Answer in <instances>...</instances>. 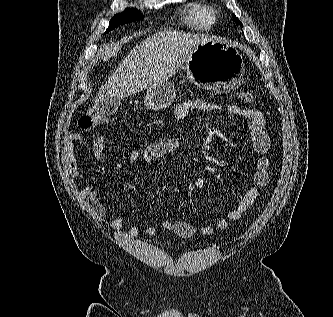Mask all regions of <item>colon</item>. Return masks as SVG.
Wrapping results in <instances>:
<instances>
[{"instance_id":"obj_1","label":"colon","mask_w":333,"mask_h":317,"mask_svg":"<svg viewBox=\"0 0 333 317\" xmlns=\"http://www.w3.org/2000/svg\"><path fill=\"white\" fill-rule=\"evenodd\" d=\"M240 100L246 103H252L254 101V96L249 91H240L238 93ZM106 122V118L99 115H83L79 120V126L85 130H93Z\"/></svg>"}]
</instances>
